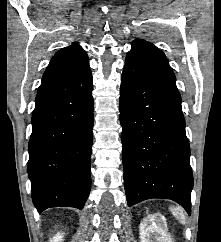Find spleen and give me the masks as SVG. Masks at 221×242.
Segmentation results:
<instances>
[{
  "label": "spleen",
  "mask_w": 221,
  "mask_h": 242,
  "mask_svg": "<svg viewBox=\"0 0 221 242\" xmlns=\"http://www.w3.org/2000/svg\"><path fill=\"white\" fill-rule=\"evenodd\" d=\"M170 211L176 217V219L179 220L180 223L185 224V215L182 208H180L179 206H171Z\"/></svg>",
  "instance_id": "obj_1"
}]
</instances>
